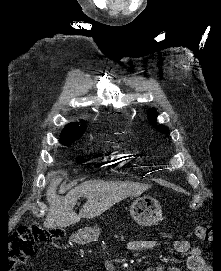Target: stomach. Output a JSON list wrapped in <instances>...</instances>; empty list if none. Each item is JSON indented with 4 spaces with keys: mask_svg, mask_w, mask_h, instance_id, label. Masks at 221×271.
I'll return each instance as SVG.
<instances>
[{
    "mask_svg": "<svg viewBox=\"0 0 221 271\" xmlns=\"http://www.w3.org/2000/svg\"><path fill=\"white\" fill-rule=\"evenodd\" d=\"M161 203L155 201L153 197H137L130 207V213L139 225H154L161 217ZM99 227H88V230H78L73 233V238H89L97 241L99 237Z\"/></svg>",
    "mask_w": 221,
    "mask_h": 271,
    "instance_id": "stomach-1",
    "label": "stomach"
}]
</instances>
